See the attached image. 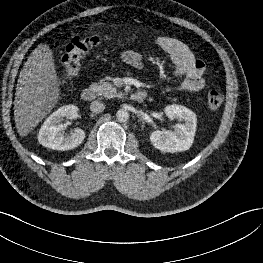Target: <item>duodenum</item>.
Segmentation results:
<instances>
[{"mask_svg": "<svg viewBox=\"0 0 263 263\" xmlns=\"http://www.w3.org/2000/svg\"><path fill=\"white\" fill-rule=\"evenodd\" d=\"M96 96L95 89L92 87H86L81 92V98L85 102L92 101ZM147 97V94L144 91H136L131 95V98L136 102H143Z\"/></svg>", "mask_w": 263, "mask_h": 263, "instance_id": "1", "label": "duodenum"}]
</instances>
